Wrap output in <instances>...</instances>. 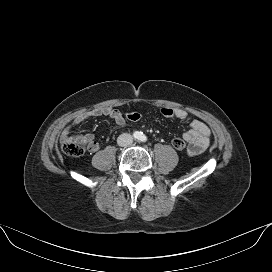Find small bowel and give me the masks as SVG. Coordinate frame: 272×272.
I'll list each match as a JSON object with an SVG mask.
<instances>
[{
  "label": "small bowel",
  "mask_w": 272,
  "mask_h": 272,
  "mask_svg": "<svg viewBox=\"0 0 272 272\" xmlns=\"http://www.w3.org/2000/svg\"><path fill=\"white\" fill-rule=\"evenodd\" d=\"M174 112L178 120L188 124V129L183 134V140L187 143L188 153L195 156L205 151L210 144V128L202 121L192 119L188 112L182 108H175ZM100 116L111 118L118 126L125 124V118L119 110L110 107L96 108L90 112L79 115L70 125L66 126L60 136L61 142L64 144L73 141L82 144L92 153L99 151L100 144L93 134L73 135L72 131L84 121Z\"/></svg>",
  "instance_id": "c3829d8e"
}]
</instances>
